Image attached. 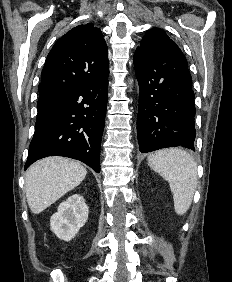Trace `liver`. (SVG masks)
<instances>
[{
    "mask_svg": "<svg viewBox=\"0 0 232 282\" xmlns=\"http://www.w3.org/2000/svg\"><path fill=\"white\" fill-rule=\"evenodd\" d=\"M83 165L64 157H47L25 173L26 197L30 210L39 214L86 177Z\"/></svg>",
    "mask_w": 232,
    "mask_h": 282,
    "instance_id": "6515ba94",
    "label": "liver"
}]
</instances>
